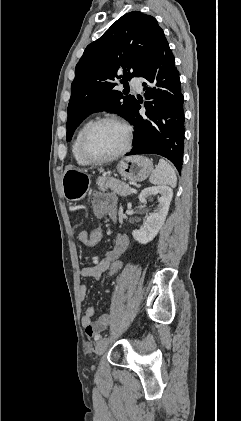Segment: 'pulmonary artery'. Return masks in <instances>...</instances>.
<instances>
[{"instance_id":"obj_1","label":"pulmonary artery","mask_w":241,"mask_h":421,"mask_svg":"<svg viewBox=\"0 0 241 421\" xmlns=\"http://www.w3.org/2000/svg\"><path fill=\"white\" fill-rule=\"evenodd\" d=\"M130 85L132 86V88L137 91V92H141L142 91V84L140 82V80L138 78H133L130 81Z\"/></svg>"}]
</instances>
